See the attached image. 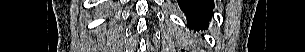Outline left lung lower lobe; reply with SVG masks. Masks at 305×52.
<instances>
[{"label": "left lung lower lobe", "instance_id": "0a47b994", "mask_svg": "<svg viewBox=\"0 0 305 52\" xmlns=\"http://www.w3.org/2000/svg\"><path fill=\"white\" fill-rule=\"evenodd\" d=\"M178 4L180 5L181 9H197L200 12H205L207 13V19L203 22L200 23H193L189 24L191 27L194 28H202L207 26L209 20L211 19L212 16V9L214 7L213 0H177Z\"/></svg>", "mask_w": 305, "mask_h": 52}]
</instances>
